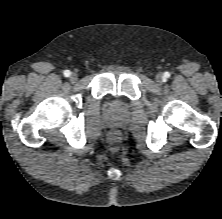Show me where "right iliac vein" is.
Here are the masks:
<instances>
[{"mask_svg": "<svg viewBox=\"0 0 222 219\" xmlns=\"http://www.w3.org/2000/svg\"><path fill=\"white\" fill-rule=\"evenodd\" d=\"M78 80V75L76 73H71L70 75V81L76 82Z\"/></svg>", "mask_w": 222, "mask_h": 219, "instance_id": "63e3f726", "label": "right iliac vein"}]
</instances>
